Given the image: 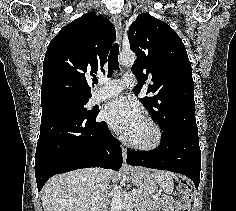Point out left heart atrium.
Returning a JSON list of instances; mask_svg holds the SVG:
<instances>
[{"label": "left heart atrium", "mask_w": 236, "mask_h": 211, "mask_svg": "<svg viewBox=\"0 0 236 211\" xmlns=\"http://www.w3.org/2000/svg\"><path fill=\"white\" fill-rule=\"evenodd\" d=\"M103 118L111 127L126 136H129L143 120L138 104L123 96L110 101L106 105Z\"/></svg>", "instance_id": "left-heart-atrium-1"}]
</instances>
